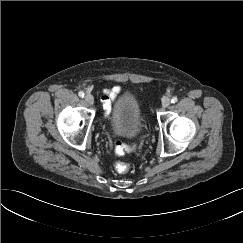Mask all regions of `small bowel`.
<instances>
[{"label":"small bowel","instance_id":"1","mask_svg":"<svg viewBox=\"0 0 243 243\" xmlns=\"http://www.w3.org/2000/svg\"><path fill=\"white\" fill-rule=\"evenodd\" d=\"M120 86H113L109 89H104L101 96V101L103 103L104 110L106 111V115L109 114L112 104L114 103L117 95L120 93Z\"/></svg>","mask_w":243,"mask_h":243}]
</instances>
